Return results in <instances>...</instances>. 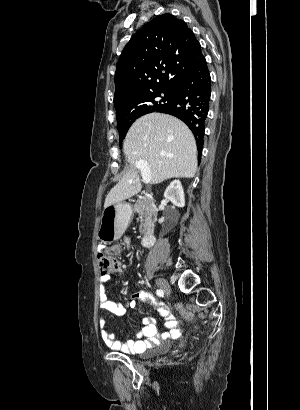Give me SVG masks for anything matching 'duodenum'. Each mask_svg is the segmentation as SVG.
<instances>
[{
    "mask_svg": "<svg viewBox=\"0 0 300 410\" xmlns=\"http://www.w3.org/2000/svg\"><path fill=\"white\" fill-rule=\"evenodd\" d=\"M156 236L153 233H148L144 235L140 241V246L143 248L151 247L154 245Z\"/></svg>",
    "mask_w": 300,
    "mask_h": 410,
    "instance_id": "duodenum-1",
    "label": "duodenum"
}]
</instances>
